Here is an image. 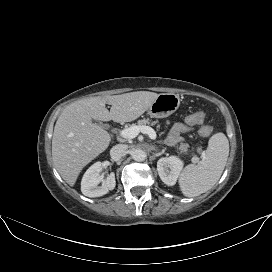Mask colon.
I'll return each mask as SVG.
<instances>
[{
    "label": "colon",
    "instance_id": "colon-1",
    "mask_svg": "<svg viewBox=\"0 0 272 272\" xmlns=\"http://www.w3.org/2000/svg\"><path fill=\"white\" fill-rule=\"evenodd\" d=\"M205 120V114L203 112H195L187 117V122L192 125H201L199 132L203 137H208L212 128L209 125L203 124Z\"/></svg>",
    "mask_w": 272,
    "mask_h": 272
}]
</instances>
